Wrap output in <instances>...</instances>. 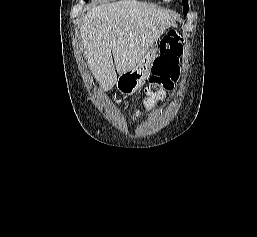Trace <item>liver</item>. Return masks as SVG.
Returning a JSON list of instances; mask_svg holds the SVG:
<instances>
[{"label": "liver", "instance_id": "6515ba94", "mask_svg": "<svg viewBox=\"0 0 257 237\" xmlns=\"http://www.w3.org/2000/svg\"><path fill=\"white\" fill-rule=\"evenodd\" d=\"M171 26L175 21L167 13L134 0L90 8L80 32L87 63L103 91L113 88L117 73L134 69Z\"/></svg>", "mask_w": 257, "mask_h": 237}]
</instances>
